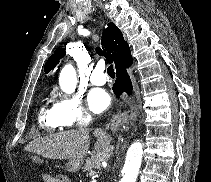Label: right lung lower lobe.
<instances>
[{
	"mask_svg": "<svg viewBox=\"0 0 211 182\" xmlns=\"http://www.w3.org/2000/svg\"><path fill=\"white\" fill-rule=\"evenodd\" d=\"M132 61L133 59L127 44L123 54L115 64L117 79L113 85V92L117 97L122 95L124 92H126L128 95L132 94V82L126 71V68L132 65Z\"/></svg>",
	"mask_w": 211,
	"mask_h": 182,
	"instance_id": "right-lung-lower-lobe-1",
	"label": "right lung lower lobe"
}]
</instances>
